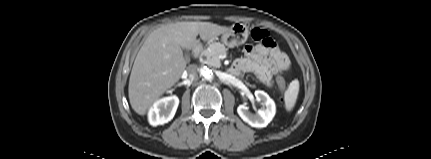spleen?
Instances as JSON below:
<instances>
[{
    "label": "spleen",
    "mask_w": 431,
    "mask_h": 159,
    "mask_svg": "<svg viewBox=\"0 0 431 159\" xmlns=\"http://www.w3.org/2000/svg\"><path fill=\"white\" fill-rule=\"evenodd\" d=\"M299 92V81L293 80L287 91L285 92L284 101H285V108L287 111H291L293 107L295 106L297 96Z\"/></svg>",
    "instance_id": "spleen-1"
}]
</instances>
